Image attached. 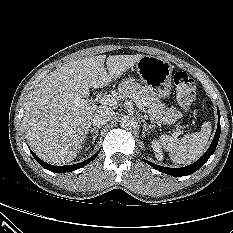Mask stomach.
Wrapping results in <instances>:
<instances>
[{
    "label": "stomach",
    "instance_id": "1",
    "mask_svg": "<svg viewBox=\"0 0 233 233\" xmlns=\"http://www.w3.org/2000/svg\"><path fill=\"white\" fill-rule=\"evenodd\" d=\"M136 68L142 83L152 95L159 100L170 96L173 66L169 61L157 56H143L136 63Z\"/></svg>",
    "mask_w": 233,
    "mask_h": 233
}]
</instances>
